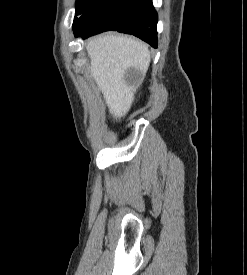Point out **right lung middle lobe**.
Returning <instances> with one entry per match:
<instances>
[{
  "label": "right lung middle lobe",
  "instance_id": "obj_1",
  "mask_svg": "<svg viewBox=\"0 0 247 275\" xmlns=\"http://www.w3.org/2000/svg\"><path fill=\"white\" fill-rule=\"evenodd\" d=\"M105 0H77L76 1V15H81L87 12L88 10L94 8ZM78 17L74 18L73 25L78 21Z\"/></svg>",
  "mask_w": 247,
  "mask_h": 275
}]
</instances>
